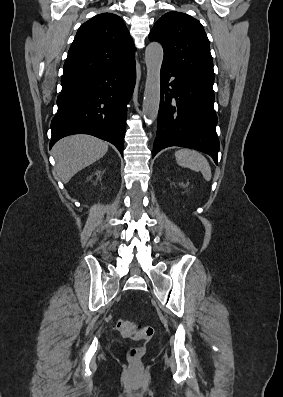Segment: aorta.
<instances>
[{"instance_id":"obj_1","label":"aorta","mask_w":283,"mask_h":397,"mask_svg":"<svg viewBox=\"0 0 283 397\" xmlns=\"http://www.w3.org/2000/svg\"><path fill=\"white\" fill-rule=\"evenodd\" d=\"M163 48L158 42H151L145 50L147 78L144 90L142 112L146 122L155 121L160 105V71Z\"/></svg>"}]
</instances>
